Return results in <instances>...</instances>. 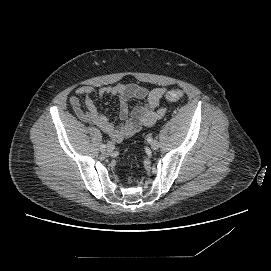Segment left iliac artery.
I'll list each match as a JSON object with an SVG mask.
<instances>
[{
	"label": "left iliac artery",
	"instance_id": "1",
	"mask_svg": "<svg viewBox=\"0 0 271 271\" xmlns=\"http://www.w3.org/2000/svg\"><path fill=\"white\" fill-rule=\"evenodd\" d=\"M148 143H152L153 142V138L151 136H147L146 138Z\"/></svg>",
	"mask_w": 271,
	"mask_h": 271
}]
</instances>
